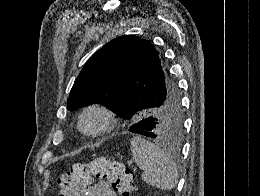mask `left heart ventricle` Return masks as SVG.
Here are the masks:
<instances>
[{"label": "left heart ventricle", "instance_id": "left-heart-ventricle-1", "mask_svg": "<svg viewBox=\"0 0 260 196\" xmlns=\"http://www.w3.org/2000/svg\"><path fill=\"white\" fill-rule=\"evenodd\" d=\"M101 124L102 115L98 112L88 113L82 121L83 128L89 131L96 130Z\"/></svg>", "mask_w": 260, "mask_h": 196}]
</instances>
